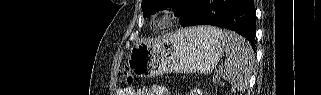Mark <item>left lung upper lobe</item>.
<instances>
[{"instance_id": "obj_1", "label": "left lung upper lobe", "mask_w": 321, "mask_h": 95, "mask_svg": "<svg viewBox=\"0 0 321 95\" xmlns=\"http://www.w3.org/2000/svg\"><path fill=\"white\" fill-rule=\"evenodd\" d=\"M189 0H142V11L144 16L153 15L157 9L163 7L173 8L175 15H178Z\"/></svg>"}]
</instances>
